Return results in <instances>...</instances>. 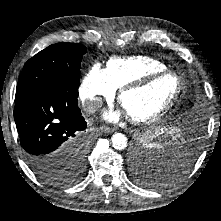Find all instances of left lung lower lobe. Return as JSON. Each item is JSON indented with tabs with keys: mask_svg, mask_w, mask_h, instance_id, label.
Segmentation results:
<instances>
[{
	"mask_svg": "<svg viewBox=\"0 0 221 221\" xmlns=\"http://www.w3.org/2000/svg\"><path fill=\"white\" fill-rule=\"evenodd\" d=\"M204 122L203 116L187 122L183 121L182 116L174 119L164 133V138L158 141L157 146L151 151L141 152L138 148L133 150L134 171L137 162L140 160L148 162L151 158L155 173L149 179L151 183L149 187H160L179 178L190 168L196 158ZM173 163L176 167L172 168ZM150 164L151 162H148V166Z\"/></svg>",
	"mask_w": 221,
	"mask_h": 221,
	"instance_id": "obj_1",
	"label": "left lung lower lobe"
}]
</instances>
